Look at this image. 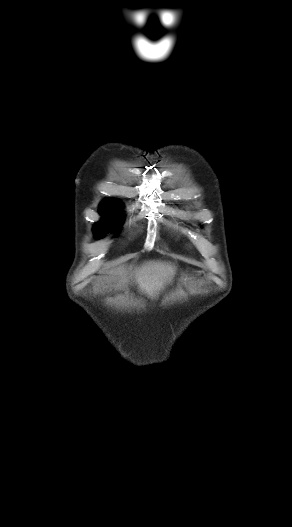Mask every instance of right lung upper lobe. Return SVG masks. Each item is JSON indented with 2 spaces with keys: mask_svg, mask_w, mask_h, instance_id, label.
Segmentation results:
<instances>
[{
  "mask_svg": "<svg viewBox=\"0 0 292 527\" xmlns=\"http://www.w3.org/2000/svg\"><path fill=\"white\" fill-rule=\"evenodd\" d=\"M103 205H111V206H122L120 202L113 199H107L103 203Z\"/></svg>",
  "mask_w": 292,
  "mask_h": 527,
  "instance_id": "cb5924a9",
  "label": "right lung upper lobe"
}]
</instances>
